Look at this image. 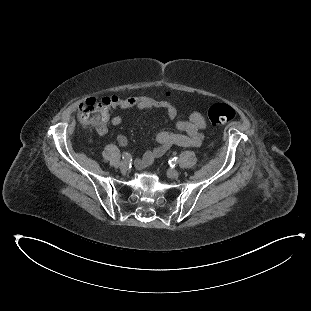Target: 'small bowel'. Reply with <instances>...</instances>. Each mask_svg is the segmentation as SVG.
Listing matches in <instances>:
<instances>
[{"instance_id": "obj_1", "label": "small bowel", "mask_w": 311, "mask_h": 311, "mask_svg": "<svg viewBox=\"0 0 311 311\" xmlns=\"http://www.w3.org/2000/svg\"><path fill=\"white\" fill-rule=\"evenodd\" d=\"M127 100L128 105L125 110L162 109L171 118L175 117L177 114L175 106L164 100H157L147 96H129L127 97ZM108 111L112 112L110 109ZM110 122L113 126H119L123 122V117L121 115H115L111 118ZM176 128L181 133L167 131L157 133L155 138L158 142V146L153 150L145 152L142 157L137 160L136 166L139 169H144L150 166L156 159L166 154L173 146H200L204 139L206 121L202 114L199 112H193L189 115L187 120L178 121L176 123ZM96 131L100 135H105L108 132L107 125L104 122H101L96 126ZM117 140L122 146H125L127 143V140L123 135H119Z\"/></svg>"}]
</instances>
